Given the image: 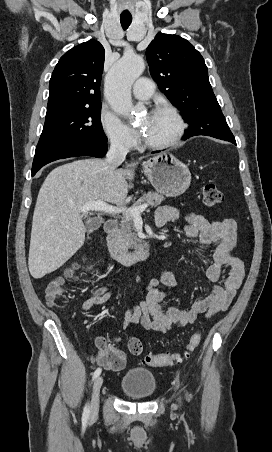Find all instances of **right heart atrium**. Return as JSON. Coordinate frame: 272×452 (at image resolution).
Masks as SVG:
<instances>
[{
    "mask_svg": "<svg viewBox=\"0 0 272 452\" xmlns=\"http://www.w3.org/2000/svg\"><path fill=\"white\" fill-rule=\"evenodd\" d=\"M99 121L104 135L111 144L122 149H130L135 145L134 133L117 116L102 111Z\"/></svg>",
    "mask_w": 272,
    "mask_h": 452,
    "instance_id": "right-heart-atrium-1",
    "label": "right heart atrium"
}]
</instances>
